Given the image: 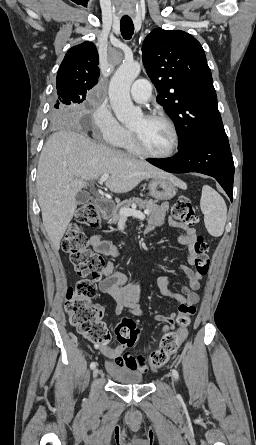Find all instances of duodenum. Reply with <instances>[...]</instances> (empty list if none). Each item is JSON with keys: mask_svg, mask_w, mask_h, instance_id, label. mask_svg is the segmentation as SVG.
<instances>
[{"mask_svg": "<svg viewBox=\"0 0 256 445\" xmlns=\"http://www.w3.org/2000/svg\"><path fill=\"white\" fill-rule=\"evenodd\" d=\"M97 207L99 214L103 217L107 216L111 212L113 204L109 200L101 198L97 201Z\"/></svg>", "mask_w": 256, "mask_h": 445, "instance_id": "1", "label": "duodenum"}]
</instances>
